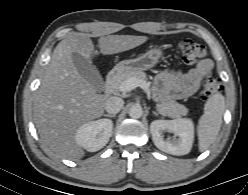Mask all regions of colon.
<instances>
[{
    "instance_id": "obj_1",
    "label": "colon",
    "mask_w": 248,
    "mask_h": 195,
    "mask_svg": "<svg viewBox=\"0 0 248 195\" xmlns=\"http://www.w3.org/2000/svg\"><path fill=\"white\" fill-rule=\"evenodd\" d=\"M179 49L182 61L186 65H195L207 56L205 46L191 39L182 40L179 44ZM221 88L222 85L218 79L207 78L202 85L201 98L207 100L219 92Z\"/></svg>"
}]
</instances>
